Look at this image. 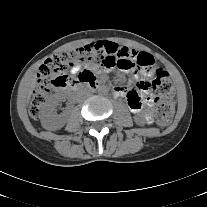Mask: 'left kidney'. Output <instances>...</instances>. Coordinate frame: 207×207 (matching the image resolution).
Segmentation results:
<instances>
[{"mask_svg": "<svg viewBox=\"0 0 207 207\" xmlns=\"http://www.w3.org/2000/svg\"><path fill=\"white\" fill-rule=\"evenodd\" d=\"M134 121L139 126H144L145 125V120L143 118H141L140 116H138V115L134 117Z\"/></svg>", "mask_w": 207, "mask_h": 207, "instance_id": "5707ae66", "label": "left kidney"}]
</instances>
